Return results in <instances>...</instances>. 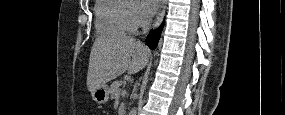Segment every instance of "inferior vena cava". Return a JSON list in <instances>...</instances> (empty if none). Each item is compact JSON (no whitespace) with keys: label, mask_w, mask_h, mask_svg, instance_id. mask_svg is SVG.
<instances>
[{"label":"inferior vena cava","mask_w":285,"mask_h":115,"mask_svg":"<svg viewBox=\"0 0 285 115\" xmlns=\"http://www.w3.org/2000/svg\"><path fill=\"white\" fill-rule=\"evenodd\" d=\"M151 21L150 20H145L142 23V28H143V32L147 33L150 27Z\"/></svg>","instance_id":"602c4592"}]
</instances>
